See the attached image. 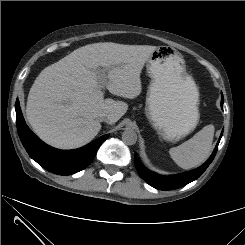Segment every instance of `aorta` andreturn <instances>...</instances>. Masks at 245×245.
Here are the masks:
<instances>
[{
    "label": "aorta",
    "mask_w": 245,
    "mask_h": 245,
    "mask_svg": "<svg viewBox=\"0 0 245 245\" xmlns=\"http://www.w3.org/2000/svg\"><path fill=\"white\" fill-rule=\"evenodd\" d=\"M137 139V133L132 129H125L122 133V141L127 145H134Z\"/></svg>",
    "instance_id": "1"
}]
</instances>
